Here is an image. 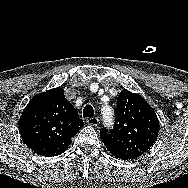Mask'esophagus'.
Here are the masks:
<instances>
[{"mask_svg": "<svg viewBox=\"0 0 188 188\" xmlns=\"http://www.w3.org/2000/svg\"><path fill=\"white\" fill-rule=\"evenodd\" d=\"M86 123L92 126H97L99 124V118L98 117L87 118Z\"/></svg>", "mask_w": 188, "mask_h": 188, "instance_id": "esophagus-1", "label": "esophagus"}]
</instances>
